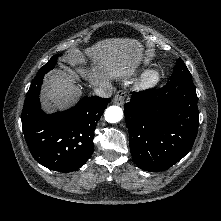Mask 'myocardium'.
Segmentation results:
<instances>
[{
  "instance_id": "f54148a6",
  "label": "myocardium",
  "mask_w": 221,
  "mask_h": 221,
  "mask_svg": "<svg viewBox=\"0 0 221 221\" xmlns=\"http://www.w3.org/2000/svg\"><path fill=\"white\" fill-rule=\"evenodd\" d=\"M161 75L158 70L152 69L147 71L141 79V86L145 88L154 87L160 81Z\"/></svg>"
}]
</instances>
